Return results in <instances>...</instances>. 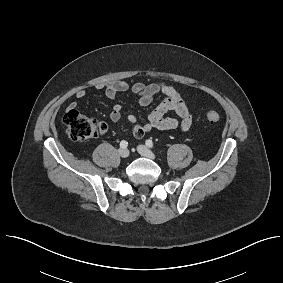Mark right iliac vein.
Returning a JSON list of instances; mask_svg holds the SVG:
<instances>
[{
    "label": "right iliac vein",
    "mask_w": 283,
    "mask_h": 283,
    "mask_svg": "<svg viewBox=\"0 0 283 283\" xmlns=\"http://www.w3.org/2000/svg\"><path fill=\"white\" fill-rule=\"evenodd\" d=\"M118 153L122 158H127L129 156V150L126 148L119 149Z\"/></svg>",
    "instance_id": "right-iliac-vein-1"
}]
</instances>
